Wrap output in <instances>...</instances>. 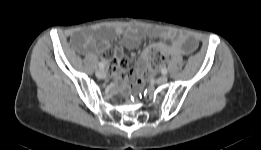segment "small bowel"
<instances>
[{"instance_id": "small-bowel-1", "label": "small bowel", "mask_w": 261, "mask_h": 150, "mask_svg": "<svg viewBox=\"0 0 261 150\" xmlns=\"http://www.w3.org/2000/svg\"><path fill=\"white\" fill-rule=\"evenodd\" d=\"M121 35L123 36L122 43L128 49L137 48L144 37L164 39L168 43L158 46L172 57L190 53L197 45L192 38L171 29L156 26H131L125 31L121 27L97 32L91 29H82L73 33L71 40L81 52L86 54L100 52L105 59L112 61L113 72L117 78H125L127 71L136 78L140 74L139 68L144 66L147 52L142 57H136L135 62L133 61L129 65V62L122 56L121 50H109L113 37Z\"/></svg>"}]
</instances>
